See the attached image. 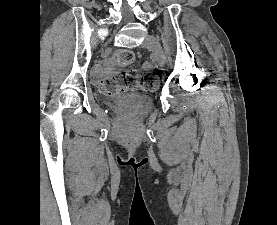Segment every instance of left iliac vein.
<instances>
[{
	"label": "left iliac vein",
	"mask_w": 277,
	"mask_h": 225,
	"mask_svg": "<svg viewBox=\"0 0 277 225\" xmlns=\"http://www.w3.org/2000/svg\"><path fill=\"white\" fill-rule=\"evenodd\" d=\"M143 46L152 51L155 60L160 67H163L165 65L164 51L161 47L159 40L155 36L147 35L143 42Z\"/></svg>",
	"instance_id": "left-iliac-vein-1"
}]
</instances>
